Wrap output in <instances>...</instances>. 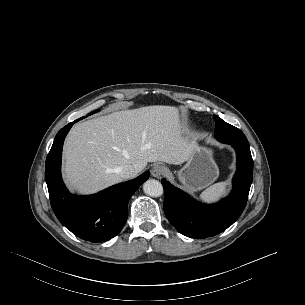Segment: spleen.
Here are the masks:
<instances>
[{"instance_id": "3e777b00", "label": "spleen", "mask_w": 305, "mask_h": 305, "mask_svg": "<svg viewBox=\"0 0 305 305\" xmlns=\"http://www.w3.org/2000/svg\"><path fill=\"white\" fill-rule=\"evenodd\" d=\"M226 182L211 185L200 194V199L205 202H216L226 193Z\"/></svg>"}]
</instances>
